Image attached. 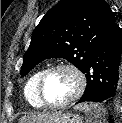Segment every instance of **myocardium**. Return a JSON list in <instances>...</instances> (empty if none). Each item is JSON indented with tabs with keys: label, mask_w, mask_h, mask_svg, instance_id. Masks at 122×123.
I'll return each instance as SVG.
<instances>
[{
	"label": "myocardium",
	"mask_w": 122,
	"mask_h": 123,
	"mask_svg": "<svg viewBox=\"0 0 122 123\" xmlns=\"http://www.w3.org/2000/svg\"><path fill=\"white\" fill-rule=\"evenodd\" d=\"M61 69L69 70L75 75L76 80H77L76 90L68 99H66L60 103L48 102L44 96L45 82H46L48 76L52 72L61 70ZM85 87H86V77H85L84 73L77 66H75L73 64L61 63V64L51 66L44 71V73L42 74V76L38 82L37 94H38L39 100L41 101V103L44 106L49 107V108H63V107H66V106L72 104L77 99H79L81 97V95L83 94Z\"/></svg>",
	"instance_id": "f54148a6"
}]
</instances>
